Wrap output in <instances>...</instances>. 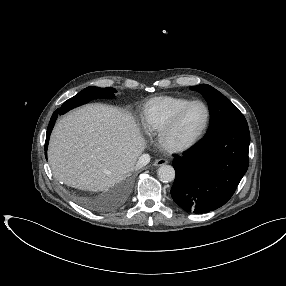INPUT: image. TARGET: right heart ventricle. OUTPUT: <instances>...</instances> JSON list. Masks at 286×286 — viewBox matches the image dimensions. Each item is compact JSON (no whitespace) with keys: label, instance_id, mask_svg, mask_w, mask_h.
I'll return each mask as SVG.
<instances>
[{"label":"right heart ventricle","instance_id":"e07e8e85","mask_svg":"<svg viewBox=\"0 0 286 286\" xmlns=\"http://www.w3.org/2000/svg\"><path fill=\"white\" fill-rule=\"evenodd\" d=\"M192 100L185 97L158 96L149 99L142 108V123L148 133L158 134L173 116Z\"/></svg>","mask_w":286,"mask_h":286}]
</instances>
